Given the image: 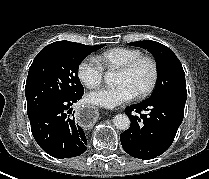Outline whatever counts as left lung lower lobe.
<instances>
[{
    "label": "left lung lower lobe",
    "instance_id": "1",
    "mask_svg": "<svg viewBox=\"0 0 209 179\" xmlns=\"http://www.w3.org/2000/svg\"><path fill=\"white\" fill-rule=\"evenodd\" d=\"M186 99L187 91H176L126 107L131 125L120 135L123 149L130 156L143 160L164 153L182 123ZM142 111L148 114H142Z\"/></svg>",
    "mask_w": 209,
    "mask_h": 179
}]
</instances>
